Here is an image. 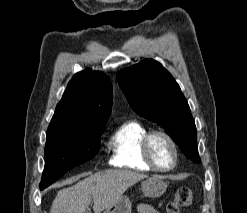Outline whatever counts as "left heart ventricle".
Returning <instances> with one entry per match:
<instances>
[{
	"label": "left heart ventricle",
	"instance_id": "obj_1",
	"mask_svg": "<svg viewBox=\"0 0 247 213\" xmlns=\"http://www.w3.org/2000/svg\"><path fill=\"white\" fill-rule=\"evenodd\" d=\"M151 151L154 160L160 167L168 168L172 165L174 159L173 150L165 138L156 136L152 140Z\"/></svg>",
	"mask_w": 247,
	"mask_h": 213
}]
</instances>
